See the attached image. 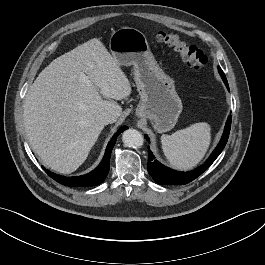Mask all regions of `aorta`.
<instances>
[{
    "mask_svg": "<svg viewBox=\"0 0 265 265\" xmlns=\"http://www.w3.org/2000/svg\"><path fill=\"white\" fill-rule=\"evenodd\" d=\"M123 143L131 148H139L143 145L142 134L135 129H128L123 132Z\"/></svg>",
    "mask_w": 265,
    "mask_h": 265,
    "instance_id": "762f6f07",
    "label": "aorta"
}]
</instances>
